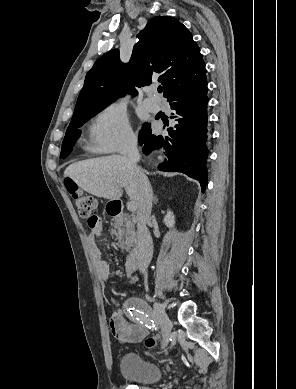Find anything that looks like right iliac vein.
I'll use <instances>...</instances> for the list:
<instances>
[{
	"mask_svg": "<svg viewBox=\"0 0 296 389\" xmlns=\"http://www.w3.org/2000/svg\"><path fill=\"white\" fill-rule=\"evenodd\" d=\"M153 307H154V311H153L154 319L159 323L163 332V336H164L163 348H165L170 339L172 323L168 315L165 313L163 306L159 302L154 301Z\"/></svg>",
	"mask_w": 296,
	"mask_h": 389,
	"instance_id": "right-iliac-vein-1",
	"label": "right iliac vein"
}]
</instances>
